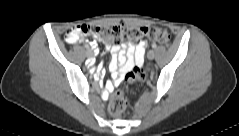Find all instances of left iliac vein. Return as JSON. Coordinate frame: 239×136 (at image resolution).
Returning a JSON list of instances; mask_svg holds the SVG:
<instances>
[{"label": "left iliac vein", "instance_id": "left-iliac-vein-1", "mask_svg": "<svg viewBox=\"0 0 239 136\" xmlns=\"http://www.w3.org/2000/svg\"><path fill=\"white\" fill-rule=\"evenodd\" d=\"M155 57V52L153 50H149L147 53V58L152 60Z\"/></svg>", "mask_w": 239, "mask_h": 136}]
</instances>
